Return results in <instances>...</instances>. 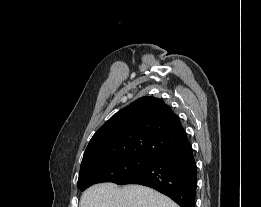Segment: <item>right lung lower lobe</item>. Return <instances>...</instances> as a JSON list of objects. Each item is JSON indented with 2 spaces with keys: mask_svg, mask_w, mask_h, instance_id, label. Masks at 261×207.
Segmentation results:
<instances>
[{
  "mask_svg": "<svg viewBox=\"0 0 261 207\" xmlns=\"http://www.w3.org/2000/svg\"><path fill=\"white\" fill-rule=\"evenodd\" d=\"M197 167L191 145L159 157L154 164L121 182L151 187L180 207H195Z\"/></svg>",
  "mask_w": 261,
  "mask_h": 207,
  "instance_id": "98d812e1",
  "label": "right lung lower lobe"
}]
</instances>
